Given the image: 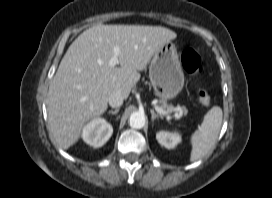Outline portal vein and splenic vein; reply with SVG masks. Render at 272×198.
Listing matches in <instances>:
<instances>
[{
	"label": "portal vein and splenic vein",
	"mask_w": 272,
	"mask_h": 198,
	"mask_svg": "<svg viewBox=\"0 0 272 198\" xmlns=\"http://www.w3.org/2000/svg\"><path fill=\"white\" fill-rule=\"evenodd\" d=\"M120 53V49L118 47H115L113 49V56L111 57L110 61H109V66L110 67H115L118 64V55ZM155 110L162 115H167L168 111L162 109L159 106H155ZM176 117H178V115H176Z\"/></svg>",
	"instance_id": "obj_1"
}]
</instances>
